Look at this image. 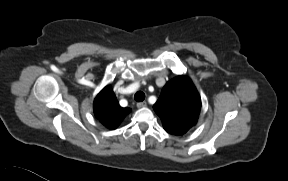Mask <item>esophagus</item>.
Returning a JSON list of instances; mask_svg holds the SVG:
<instances>
[{
	"instance_id": "obj_1",
	"label": "esophagus",
	"mask_w": 288,
	"mask_h": 181,
	"mask_svg": "<svg viewBox=\"0 0 288 181\" xmlns=\"http://www.w3.org/2000/svg\"><path fill=\"white\" fill-rule=\"evenodd\" d=\"M146 106H147V102H145V101L137 103L138 108H144Z\"/></svg>"
}]
</instances>
